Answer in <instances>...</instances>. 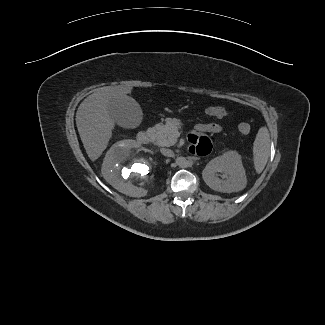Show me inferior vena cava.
<instances>
[{"instance_id": "inferior-vena-cava-1", "label": "inferior vena cava", "mask_w": 325, "mask_h": 325, "mask_svg": "<svg viewBox=\"0 0 325 325\" xmlns=\"http://www.w3.org/2000/svg\"><path fill=\"white\" fill-rule=\"evenodd\" d=\"M161 153L164 155V156H167V157H173L174 156V152L170 149H161Z\"/></svg>"}]
</instances>
